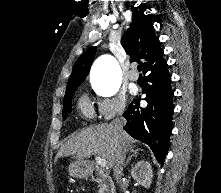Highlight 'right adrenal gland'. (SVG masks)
I'll return each instance as SVG.
<instances>
[{
	"label": "right adrenal gland",
	"instance_id": "1",
	"mask_svg": "<svg viewBox=\"0 0 221 193\" xmlns=\"http://www.w3.org/2000/svg\"><path fill=\"white\" fill-rule=\"evenodd\" d=\"M140 149H135L134 146L130 147V153L131 155L128 156L126 163L124 165V167L126 168L128 166V164L130 163L132 157H137L139 154Z\"/></svg>",
	"mask_w": 221,
	"mask_h": 193
}]
</instances>
